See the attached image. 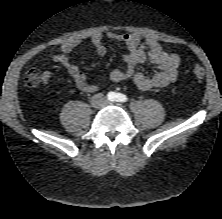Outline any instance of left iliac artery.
I'll use <instances>...</instances> for the list:
<instances>
[{
    "instance_id": "obj_1",
    "label": "left iliac artery",
    "mask_w": 222,
    "mask_h": 219,
    "mask_svg": "<svg viewBox=\"0 0 222 219\" xmlns=\"http://www.w3.org/2000/svg\"><path fill=\"white\" fill-rule=\"evenodd\" d=\"M115 100L118 102H126L128 100L127 96L122 93H117L115 96Z\"/></svg>"
}]
</instances>
